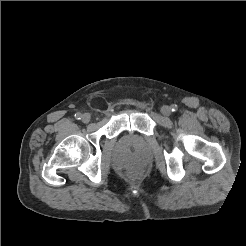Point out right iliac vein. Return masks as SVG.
I'll list each match as a JSON object with an SVG mask.
<instances>
[{"instance_id": "63e3f726", "label": "right iliac vein", "mask_w": 246, "mask_h": 246, "mask_svg": "<svg viewBox=\"0 0 246 246\" xmlns=\"http://www.w3.org/2000/svg\"><path fill=\"white\" fill-rule=\"evenodd\" d=\"M81 120L83 123H88L91 120V116L88 113H85L82 115Z\"/></svg>"}]
</instances>
